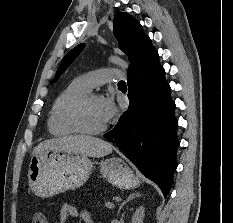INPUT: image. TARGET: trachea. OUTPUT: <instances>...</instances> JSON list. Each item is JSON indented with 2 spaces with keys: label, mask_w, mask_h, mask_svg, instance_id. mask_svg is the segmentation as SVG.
<instances>
[{
  "label": "trachea",
  "mask_w": 233,
  "mask_h": 223,
  "mask_svg": "<svg viewBox=\"0 0 233 223\" xmlns=\"http://www.w3.org/2000/svg\"><path fill=\"white\" fill-rule=\"evenodd\" d=\"M118 85H125V82L120 81V82L118 83Z\"/></svg>",
  "instance_id": "3493384b"
}]
</instances>
